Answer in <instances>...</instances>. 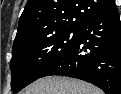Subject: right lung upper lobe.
<instances>
[{"label":"right lung upper lobe","mask_w":121,"mask_h":94,"mask_svg":"<svg viewBox=\"0 0 121 94\" xmlns=\"http://www.w3.org/2000/svg\"><path fill=\"white\" fill-rule=\"evenodd\" d=\"M114 4V0H28L13 45L34 32L49 34L79 29L83 22L106 12Z\"/></svg>","instance_id":"cb5924a9"}]
</instances>
